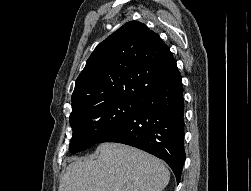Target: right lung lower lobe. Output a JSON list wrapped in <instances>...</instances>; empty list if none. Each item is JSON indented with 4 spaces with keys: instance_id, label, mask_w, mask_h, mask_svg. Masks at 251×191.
Returning <instances> with one entry per match:
<instances>
[{
    "instance_id": "right-lung-lower-lobe-1",
    "label": "right lung lower lobe",
    "mask_w": 251,
    "mask_h": 191,
    "mask_svg": "<svg viewBox=\"0 0 251 191\" xmlns=\"http://www.w3.org/2000/svg\"><path fill=\"white\" fill-rule=\"evenodd\" d=\"M181 76L138 101V108L99 142L131 145L163 159L180 182L185 161Z\"/></svg>"
}]
</instances>
